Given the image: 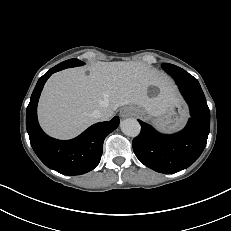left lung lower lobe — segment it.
Instances as JSON below:
<instances>
[{
  "label": "left lung lower lobe",
  "instance_id": "1",
  "mask_svg": "<svg viewBox=\"0 0 231 231\" xmlns=\"http://www.w3.org/2000/svg\"><path fill=\"white\" fill-rule=\"evenodd\" d=\"M164 70L176 81L191 118L182 131L172 135L161 134L139 120L141 132L133 139V150L145 166L172 174L189 167L203 152L210 130V111L196 78L179 67Z\"/></svg>",
  "mask_w": 231,
  "mask_h": 231
}]
</instances>
